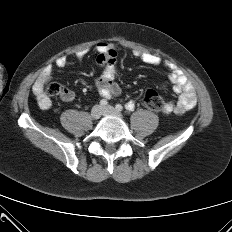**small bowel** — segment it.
Here are the masks:
<instances>
[{"instance_id": "small-bowel-1", "label": "small bowel", "mask_w": 232, "mask_h": 232, "mask_svg": "<svg viewBox=\"0 0 232 232\" xmlns=\"http://www.w3.org/2000/svg\"><path fill=\"white\" fill-rule=\"evenodd\" d=\"M95 48L98 53L96 64L99 70L94 77L95 86L103 98L109 99L119 96L121 94V88L115 82V78L118 74L117 53L112 44L104 41L99 42ZM86 53V49L77 52L75 61H82ZM134 56L148 66L163 67L167 70L169 80L173 85L174 92L178 94V98L175 101H170L165 104V113L174 112L176 114H183L195 107L197 96L194 86L186 74L176 64L162 60L159 56L145 51H134ZM55 65L58 68H64L68 65V59L66 57H59L55 61ZM48 73L49 69L44 72L32 87L38 106L44 110H48L52 106V101L45 93L43 86L44 77ZM64 89L66 93L61 95V99L65 102L72 101L74 99L73 91L66 87H64Z\"/></svg>"}]
</instances>
